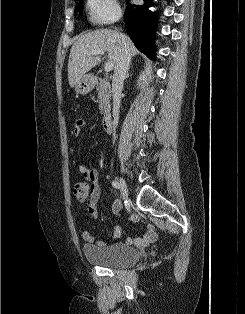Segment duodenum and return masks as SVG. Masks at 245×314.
<instances>
[{"label": "duodenum", "instance_id": "1", "mask_svg": "<svg viewBox=\"0 0 245 314\" xmlns=\"http://www.w3.org/2000/svg\"><path fill=\"white\" fill-rule=\"evenodd\" d=\"M102 123L105 132L110 133L112 131V116L110 113L104 116Z\"/></svg>", "mask_w": 245, "mask_h": 314}]
</instances>
